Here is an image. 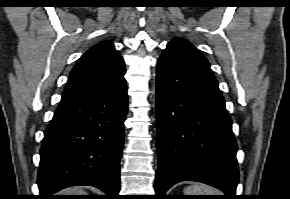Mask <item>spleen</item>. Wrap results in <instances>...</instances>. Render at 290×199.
I'll return each instance as SVG.
<instances>
[{"label": "spleen", "instance_id": "3e777b00", "mask_svg": "<svg viewBox=\"0 0 290 199\" xmlns=\"http://www.w3.org/2000/svg\"><path fill=\"white\" fill-rule=\"evenodd\" d=\"M184 195H220L219 192L209 186L194 184L184 189Z\"/></svg>", "mask_w": 290, "mask_h": 199}]
</instances>
